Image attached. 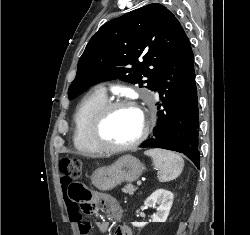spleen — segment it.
<instances>
[{
	"label": "spleen",
	"instance_id": "1",
	"mask_svg": "<svg viewBox=\"0 0 250 235\" xmlns=\"http://www.w3.org/2000/svg\"><path fill=\"white\" fill-rule=\"evenodd\" d=\"M144 154L152 158L160 182L176 179L183 170L184 160L175 152L154 148L145 151Z\"/></svg>",
	"mask_w": 250,
	"mask_h": 235
}]
</instances>
